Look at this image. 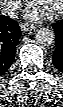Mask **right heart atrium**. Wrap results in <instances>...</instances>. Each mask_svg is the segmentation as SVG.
I'll list each match as a JSON object with an SVG mask.
<instances>
[{
    "label": "right heart atrium",
    "instance_id": "d8ad5b80",
    "mask_svg": "<svg viewBox=\"0 0 63 107\" xmlns=\"http://www.w3.org/2000/svg\"><path fill=\"white\" fill-rule=\"evenodd\" d=\"M8 3H9V8L11 9V11L18 10L21 5L20 0H10Z\"/></svg>",
    "mask_w": 63,
    "mask_h": 107
}]
</instances>
